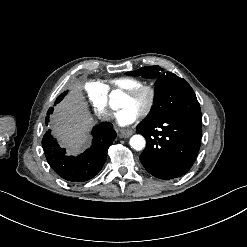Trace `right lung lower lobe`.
<instances>
[{"mask_svg": "<svg viewBox=\"0 0 247 247\" xmlns=\"http://www.w3.org/2000/svg\"><path fill=\"white\" fill-rule=\"evenodd\" d=\"M66 94L67 92L61 94L55 104L59 103ZM52 112L51 107L47 112L46 123ZM92 135L91 147L74 157L66 155V150L60 147L51 135V130L45 133L42 139L45 156L49 165L61 178L71 182H84L93 178L102 169L108 148L116 138V132L111 123L102 122L93 128Z\"/></svg>", "mask_w": 247, "mask_h": 247, "instance_id": "1", "label": "right lung lower lobe"}]
</instances>
